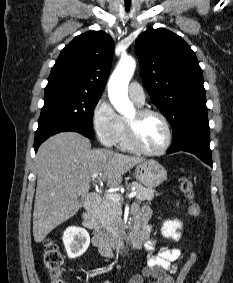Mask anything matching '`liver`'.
Returning <instances> with one entry per match:
<instances>
[{
	"label": "liver",
	"mask_w": 233,
	"mask_h": 283,
	"mask_svg": "<svg viewBox=\"0 0 233 283\" xmlns=\"http://www.w3.org/2000/svg\"><path fill=\"white\" fill-rule=\"evenodd\" d=\"M145 158L107 149H91L90 141L77 132H61L46 140L36 154L37 188L33 212V236L41 242L54 228L74 216L80 197L95 182L117 187L122 176ZM94 180V179H93Z\"/></svg>",
	"instance_id": "1"
}]
</instances>
